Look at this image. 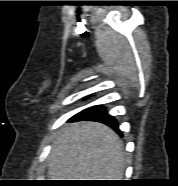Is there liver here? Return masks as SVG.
Listing matches in <instances>:
<instances>
[{
	"instance_id": "liver-1",
	"label": "liver",
	"mask_w": 178,
	"mask_h": 186,
	"mask_svg": "<svg viewBox=\"0 0 178 186\" xmlns=\"http://www.w3.org/2000/svg\"><path fill=\"white\" fill-rule=\"evenodd\" d=\"M124 146L119 136L98 122L64 126L53 141L48 162L50 180H122Z\"/></svg>"
}]
</instances>
